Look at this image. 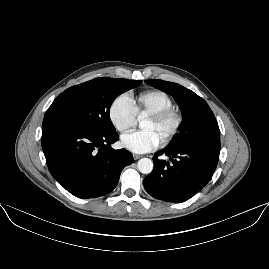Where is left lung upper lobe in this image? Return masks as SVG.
Instances as JSON below:
<instances>
[{
	"mask_svg": "<svg viewBox=\"0 0 269 269\" xmlns=\"http://www.w3.org/2000/svg\"><path fill=\"white\" fill-rule=\"evenodd\" d=\"M147 84L173 96L183 117L182 127L171 147L206 146L220 151V132L216 118L204 99L173 82L149 79Z\"/></svg>",
	"mask_w": 269,
	"mask_h": 269,
	"instance_id": "obj_1",
	"label": "left lung upper lobe"
}]
</instances>
